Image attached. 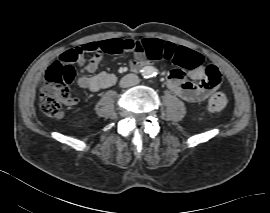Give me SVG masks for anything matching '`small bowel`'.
<instances>
[{
	"label": "small bowel",
	"mask_w": 270,
	"mask_h": 213,
	"mask_svg": "<svg viewBox=\"0 0 270 213\" xmlns=\"http://www.w3.org/2000/svg\"><path fill=\"white\" fill-rule=\"evenodd\" d=\"M110 40H99L94 42H83L77 47L81 50L78 60L81 75L78 85L83 89L96 92L112 86L116 82L113 74L101 72L94 74L99 67L102 54L107 52V43ZM145 43H154L155 48L150 50L145 58L138 57L130 61L129 65L133 71H138L150 60H170L174 67L167 73L166 82L169 88L187 102H201L207 98L220 84L221 75L212 76L207 73L205 67H193L194 54L185 47L177 46L172 42L161 39H146ZM94 53L90 59L84 56ZM186 69L192 81L186 80Z\"/></svg>",
	"instance_id": "obj_1"
}]
</instances>
